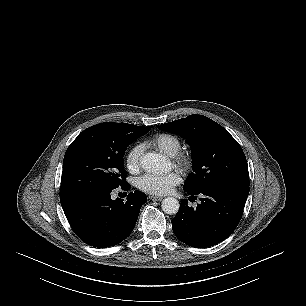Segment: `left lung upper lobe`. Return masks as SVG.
<instances>
[{"instance_id":"left-lung-upper-lobe-1","label":"left lung upper lobe","mask_w":306,"mask_h":306,"mask_svg":"<svg viewBox=\"0 0 306 306\" xmlns=\"http://www.w3.org/2000/svg\"><path fill=\"white\" fill-rule=\"evenodd\" d=\"M157 127L180 135L191 147L193 173L184 184L185 191L220 184L249 187L248 166L241 146L215 121L194 114Z\"/></svg>"}]
</instances>
